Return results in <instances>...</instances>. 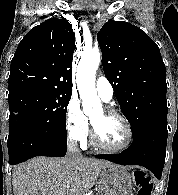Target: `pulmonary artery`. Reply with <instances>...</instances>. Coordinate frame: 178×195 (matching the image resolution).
<instances>
[{"mask_svg": "<svg viewBox=\"0 0 178 195\" xmlns=\"http://www.w3.org/2000/svg\"><path fill=\"white\" fill-rule=\"evenodd\" d=\"M96 90L104 102H110L114 95V90L107 78L101 76L96 81Z\"/></svg>", "mask_w": 178, "mask_h": 195, "instance_id": "obj_1", "label": "pulmonary artery"}]
</instances>
